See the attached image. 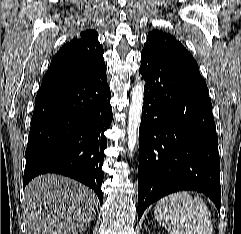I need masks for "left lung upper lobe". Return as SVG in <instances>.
I'll use <instances>...</instances> for the list:
<instances>
[{
  "instance_id": "5c2ea615",
  "label": "left lung upper lobe",
  "mask_w": 241,
  "mask_h": 234,
  "mask_svg": "<svg viewBox=\"0 0 241 234\" xmlns=\"http://www.w3.org/2000/svg\"><path fill=\"white\" fill-rule=\"evenodd\" d=\"M143 52L157 57L174 68L200 75L198 65L192 55L181 42L166 32L159 30L150 32L147 36V42L144 44Z\"/></svg>"
}]
</instances>
